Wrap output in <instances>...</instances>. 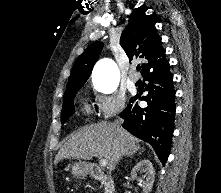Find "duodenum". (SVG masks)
Instances as JSON below:
<instances>
[{
  "mask_svg": "<svg viewBox=\"0 0 221 193\" xmlns=\"http://www.w3.org/2000/svg\"><path fill=\"white\" fill-rule=\"evenodd\" d=\"M83 168L87 170L92 178L103 184L105 193H114V182L112 178L106 175L100 168L93 164L84 165Z\"/></svg>",
  "mask_w": 221,
  "mask_h": 193,
  "instance_id": "410a0bca",
  "label": "duodenum"
}]
</instances>
